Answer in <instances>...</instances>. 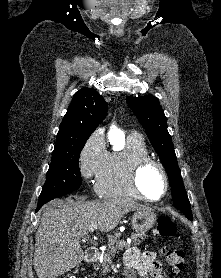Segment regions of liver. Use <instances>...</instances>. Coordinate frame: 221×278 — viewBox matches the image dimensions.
<instances>
[{
	"label": "liver",
	"instance_id": "obj_1",
	"mask_svg": "<svg viewBox=\"0 0 221 278\" xmlns=\"http://www.w3.org/2000/svg\"><path fill=\"white\" fill-rule=\"evenodd\" d=\"M132 199L56 200L46 206L36 233L34 270L39 278H57L82 260L80 240L92 223L102 232L113 230L130 211L148 210Z\"/></svg>",
	"mask_w": 221,
	"mask_h": 278
}]
</instances>
